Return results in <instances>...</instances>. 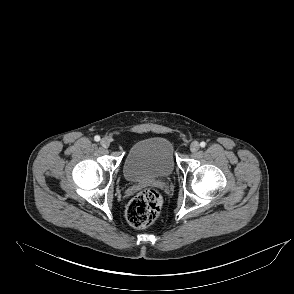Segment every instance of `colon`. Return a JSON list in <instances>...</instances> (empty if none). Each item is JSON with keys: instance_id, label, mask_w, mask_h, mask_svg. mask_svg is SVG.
Segmentation results:
<instances>
[{"instance_id": "1", "label": "colon", "mask_w": 294, "mask_h": 294, "mask_svg": "<svg viewBox=\"0 0 294 294\" xmlns=\"http://www.w3.org/2000/svg\"><path fill=\"white\" fill-rule=\"evenodd\" d=\"M162 207L160 194L154 189H144L132 198L126 209V218L135 228L151 225L159 216Z\"/></svg>"}]
</instances>
